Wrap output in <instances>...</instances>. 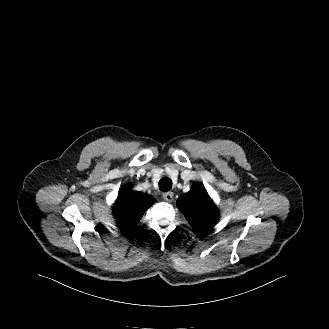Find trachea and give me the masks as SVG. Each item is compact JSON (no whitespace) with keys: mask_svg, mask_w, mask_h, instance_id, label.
Returning <instances> with one entry per match:
<instances>
[{"mask_svg":"<svg viewBox=\"0 0 329 329\" xmlns=\"http://www.w3.org/2000/svg\"><path fill=\"white\" fill-rule=\"evenodd\" d=\"M172 188V181L168 177H163L159 181V189L162 192L169 191Z\"/></svg>","mask_w":329,"mask_h":329,"instance_id":"trachea-1","label":"trachea"}]
</instances>
